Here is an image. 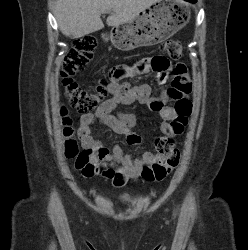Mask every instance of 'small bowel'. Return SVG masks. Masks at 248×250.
I'll return each instance as SVG.
<instances>
[{"instance_id": "small-bowel-1", "label": "small bowel", "mask_w": 248, "mask_h": 250, "mask_svg": "<svg viewBox=\"0 0 248 250\" xmlns=\"http://www.w3.org/2000/svg\"><path fill=\"white\" fill-rule=\"evenodd\" d=\"M155 59L162 60V63L157 66L154 63ZM131 71L137 73L156 71L164 79H168L172 75L175 76L171 84V87L179 95V98L175 100V105H168L170 99L169 88L161 90L159 96L153 98L152 89L149 85L139 84L133 86L124 81L123 78ZM191 89L192 83L186 65L182 63L172 65L162 57H146L138 61L133 67L118 66L112 69L110 83L107 87V93L111 97L105 100L95 113L83 114L77 128V136L84 150H91L96 154L94 165L98 171L91 172L86 168H78L77 166L76 168L86 178H92L96 175L102 176L111 180L116 187H122L128 180L139 177L150 181V179L144 177L143 170L145 167L154 165L159 160V157L151 151H146L140 157L132 159L124 153L119 144H114L109 148L96 141L91 134V125L98 121L118 134L127 135L130 144H137L140 142V137L131 132L136 123V116L133 113L125 112L112 114L118 104L130 105L137 101L149 104L154 111H158L163 118L161 124L162 133L170 138L176 137L183 132L187 124L191 110L189 97ZM156 104H159V106H156ZM108 165H116L118 168L114 169ZM171 171L172 169H169L167 175Z\"/></svg>"}]
</instances>
